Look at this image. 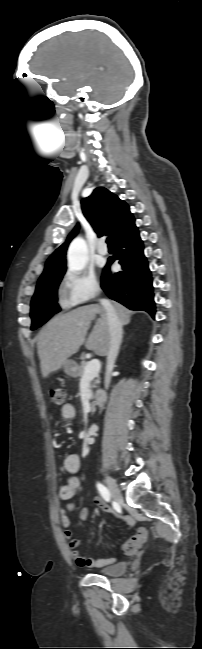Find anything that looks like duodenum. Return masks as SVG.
<instances>
[{"label":"duodenum","mask_w":202,"mask_h":649,"mask_svg":"<svg viewBox=\"0 0 202 649\" xmlns=\"http://www.w3.org/2000/svg\"><path fill=\"white\" fill-rule=\"evenodd\" d=\"M105 399H106V396H105L104 393H99L98 392V393L95 394V400H96L97 404L104 403Z\"/></svg>","instance_id":"duodenum-1"}]
</instances>
